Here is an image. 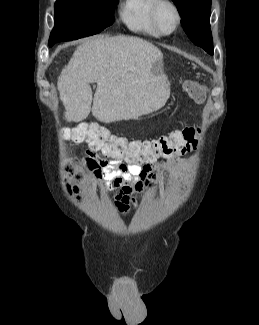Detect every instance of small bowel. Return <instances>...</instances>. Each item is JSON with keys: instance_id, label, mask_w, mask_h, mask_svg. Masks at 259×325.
<instances>
[{"instance_id": "c3829d8e", "label": "small bowel", "mask_w": 259, "mask_h": 325, "mask_svg": "<svg viewBox=\"0 0 259 325\" xmlns=\"http://www.w3.org/2000/svg\"><path fill=\"white\" fill-rule=\"evenodd\" d=\"M190 150L174 149L144 162L130 163L120 159L98 158L95 151L89 149L86 152L85 168L79 169L75 178L83 181L88 171L91 172L94 181H103L101 189L117 191L114 206L119 213L125 214L136 203L135 194L149 189L157 190V183L167 181L170 169ZM159 158H164L167 166L161 168L162 175L156 176L152 173V167ZM75 190H78V186H75Z\"/></svg>"}]
</instances>
